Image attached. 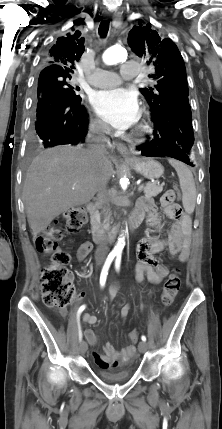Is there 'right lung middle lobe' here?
Returning <instances> with one entry per match:
<instances>
[{
  "instance_id": "right-lung-middle-lobe-1",
  "label": "right lung middle lobe",
  "mask_w": 222,
  "mask_h": 429,
  "mask_svg": "<svg viewBox=\"0 0 222 429\" xmlns=\"http://www.w3.org/2000/svg\"><path fill=\"white\" fill-rule=\"evenodd\" d=\"M70 75H40L37 83V97L48 87H56L65 91L70 97L81 99L76 94L78 87H73L69 84Z\"/></svg>"
}]
</instances>
